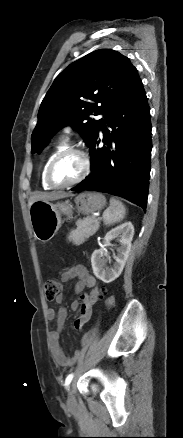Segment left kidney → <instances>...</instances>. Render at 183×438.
<instances>
[{"label":"left kidney","mask_w":183,"mask_h":438,"mask_svg":"<svg viewBox=\"0 0 183 438\" xmlns=\"http://www.w3.org/2000/svg\"><path fill=\"white\" fill-rule=\"evenodd\" d=\"M134 235V226L131 222H125L106 233L104 237V246L114 238L119 237L120 247L117 250V255L114 256L115 263L112 268L105 266L103 256L104 246L99 250H95L91 256V264L94 275L104 283H110L120 276L128 259L131 250V241Z\"/></svg>","instance_id":"1"}]
</instances>
